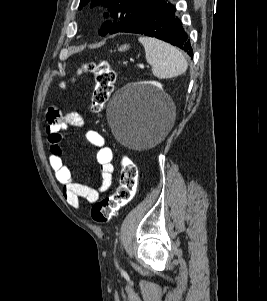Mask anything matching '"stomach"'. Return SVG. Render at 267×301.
Listing matches in <instances>:
<instances>
[{
  "label": "stomach",
  "mask_w": 267,
  "mask_h": 301,
  "mask_svg": "<svg viewBox=\"0 0 267 301\" xmlns=\"http://www.w3.org/2000/svg\"><path fill=\"white\" fill-rule=\"evenodd\" d=\"M129 48V45H122L120 48H119V51H126L127 49Z\"/></svg>",
  "instance_id": "stomach-1"
}]
</instances>
